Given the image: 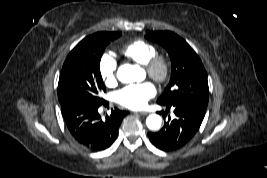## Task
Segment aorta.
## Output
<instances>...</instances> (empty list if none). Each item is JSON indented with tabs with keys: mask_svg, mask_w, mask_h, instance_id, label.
<instances>
[{
	"mask_svg": "<svg viewBox=\"0 0 267 178\" xmlns=\"http://www.w3.org/2000/svg\"><path fill=\"white\" fill-rule=\"evenodd\" d=\"M141 69L136 65L124 64L117 71V78L122 83H132L139 79ZM162 118L157 114H151L146 119V125L150 130H158L161 127Z\"/></svg>",
	"mask_w": 267,
	"mask_h": 178,
	"instance_id": "1",
	"label": "aorta"
}]
</instances>
